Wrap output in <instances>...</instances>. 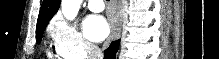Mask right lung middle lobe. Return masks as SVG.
Wrapping results in <instances>:
<instances>
[{"label":"right lung middle lobe","mask_w":219,"mask_h":59,"mask_svg":"<svg viewBox=\"0 0 219 59\" xmlns=\"http://www.w3.org/2000/svg\"><path fill=\"white\" fill-rule=\"evenodd\" d=\"M46 26L40 27L36 29V38L38 42H41V38L43 36V32L45 30Z\"/></svg>","instance_id":"obj_1"}]
</instances>
